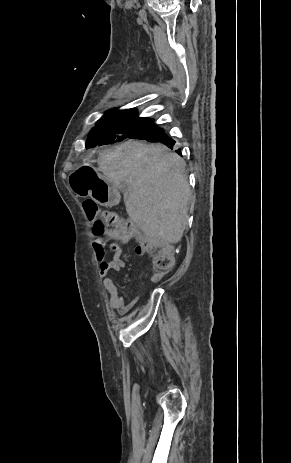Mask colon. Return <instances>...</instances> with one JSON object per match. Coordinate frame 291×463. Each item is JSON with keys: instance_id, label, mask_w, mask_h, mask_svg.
<instances>
[{"instance_id": "1", "label": "colon", "mask_w": 291, "mask_h": 463, "mask_svg": "<svg viewBox=\"0 0 291 463\" xmlns=\"http://www.w3.org/2000/svg\"><path fill=\"white\" fill-rule=\"evenodd\" d=\"M83 208L92 222V232L96 240L105 241L107 236L117 239H134L137 246L151 257L152 264L159 274L169 272L175 263L173 248L147 235L130 219L118 213L102 210L92 199L83 202Z\"/></svg>"}]
</instances>
